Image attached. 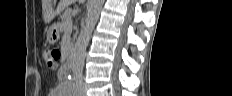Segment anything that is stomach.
<instances>
[{
    "label": "stomach",
    "instance_id": "0dacf381",
    "mask_svg": "<svg viewBox=\"0 0 232 96\" xmlns=\"http://www.w3.org/2000/svg\"><path fill=\"white\" fill-rule=\"evenodd\" d=\"M60 38L59 25H52L48 31L47 40L50 44H55Z\"/></svg>",
    "mask_w": 232,
    "mask_h": 96
}]
</instances>
